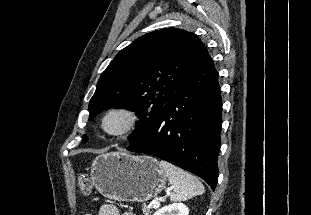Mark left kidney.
Wrapping results in <instances>:
<instances>
[{
    "mask_svg": "<svg viewBox=\"0 0 311 215\" xmlns=\"http://www.w3.org/2000/svg\"><path fill=\"white\" fill-rule=\"evenodd\" d=\"M154 215H189V209L183 203H174L160 208Z\"/></svg>",
    "mask_w": 311,
    "mask_h": 215,
    "instance_id": "1",
    "label": "left kidney"
}]
</instances>
